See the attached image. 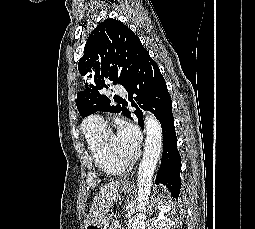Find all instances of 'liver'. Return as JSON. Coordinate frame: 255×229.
I'll return each instance as SVG.
<instances>
[{
  "instance_id": "liver-1",
  "label": "liver",
  "mask_w": 255,
  "mask_h": 229,
  "mask_svg": "<svg viewBox=\"0 0 255 229\" xmlns=\"http://www.w3.org/2000/svg\"><path fill=\"white\" fill-rule=\"evenodd\" d=\"M119 181H112L100 188L91 205L85 227L103 218L117 201Z\"/></svg>"
}]
</instances>
